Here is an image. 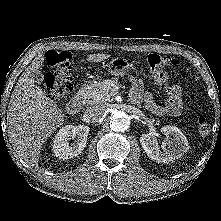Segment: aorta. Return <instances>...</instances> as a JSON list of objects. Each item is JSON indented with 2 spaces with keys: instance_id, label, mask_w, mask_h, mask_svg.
Instances as JSON below:
<instances>
[{
  "instance_id": "aorta-1",
  "label": "aorta",
  "mask_w": 221,
  "mask_h": 221,
  "mask_svg": "<svg viewBox=\"0 0 221 221\" xmlns=\"http://www.w3.org/2000/svg\"><path fill=\"white\" fill-rule=\"evenodd\" d=\"M130 126L128 116L122 112H115L110 119V128L114 132H125Z\"/></svg>"
}]
</instances>
